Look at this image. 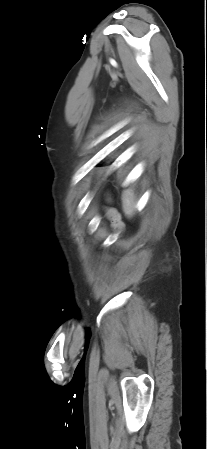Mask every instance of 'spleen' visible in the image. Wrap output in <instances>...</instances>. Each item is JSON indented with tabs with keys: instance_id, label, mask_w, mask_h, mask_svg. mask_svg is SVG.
I'll return each mask as SVG.
<instances>
[{
	"instance_id": "3e777b00",
	"label": "spleen",
	"mask_w": 207,
	"mask_h": 449,
	"mask_svg": "<svg viewBox=\"0 0 207 449\" xmlns=\"http://www.w3.org/2000/svg\"><path fill=\"white\" fill-rule=\"evenodd\" d=\"M123 211L128 216H133L136 206H135V196L131 191H125L122 195Z\"/></svg>"
}]
</instances>
